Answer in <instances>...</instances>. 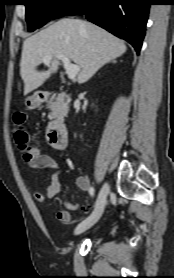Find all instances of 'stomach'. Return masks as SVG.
<instances>
[{"label": "stomach", "mask_w": 174, "mask_h": 278, "mask_svg": "<svg viewBox=\"0 0 174 278\" xmlns=\"http://www.w3.org/2000/svg\"><path fill=\"white\" fill-rule=\"evenodd\" d=\"M26 105L29 108L33 109V108H36L40 105V101L37 100L36 95H34V96H31V97L27 98Z\"/></svg>", "instance_id": "1"}]
</instances>
